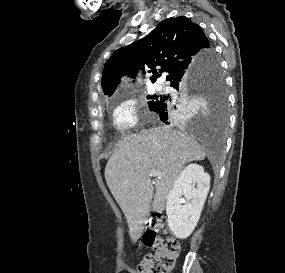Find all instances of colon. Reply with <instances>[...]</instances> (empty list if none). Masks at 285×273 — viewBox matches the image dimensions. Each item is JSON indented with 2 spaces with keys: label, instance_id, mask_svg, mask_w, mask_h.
I'll list each match as a JSON object with an SVG mask.
<instances>
[{
  "label": "colon",
  "instance_id": "5ec220e1",
  "mask_svg": "<svg viewBox=\"0 0 285 273\" xmlns=\"http://www.w3.org/2000/svg\"><path fill=\"white\" fill-rule=\"evenodd\" d=\"M142 244L153 249L138 266L139 273H168L180 253L179 241L169 232L165 222L152 218L150 227L142 235Z\"/></svg>",
  "mask_w": 285,
  "mask_h": 273
}]
</instances>
